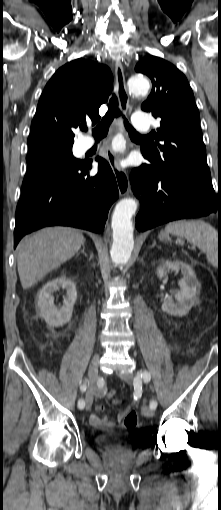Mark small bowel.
Returning a JSON list of instances; mask_svg holds the SVG:
<instances>
[{
	"mask_svg": "<svg viewBox=\"0 0 221 510\" xmlns=\"http://www.w3.org/2000/svg\"><path fill=\"white\" fill-rule=\"evenodd\" d=\"M96 393L98 396H102L104 392L103 389L98 388L96 390ZM103 411H104L103 405L101 404L96 405L94 408V412L89 416V422L95 428H98L103 431H110L117 428L120 425V422L125 418V416L129 412V408L120 411L116 415V420H113L109 417H101L100 413H102Z\"/></svg>",
	"mask_w": 221,
	"mask_h": 510,
	"instance_id": "1",
	"label": "small bowel"
}]
</instances>
